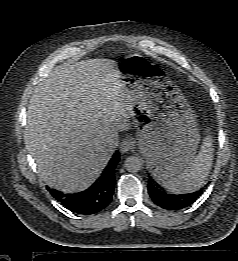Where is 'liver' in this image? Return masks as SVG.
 Instances as JSON below:
<instances>
[{
    "label": "liver",
    "mask_w": 238,
    "mask_h": 261,
    "mask_svg": "<svg viewBox=\"0 0 238 261\" xmlns=\"http://www.w3.org/2000/svg\"><path fill=\"white\" fill-rule=\"evenodd\" d=\"M117 62L89 59L56 67L36 86L25 143L40 178L64 193L87 189L112 153L109 140L130 128L132 112Z\"/></svg>",
    "instance_id": "1"
}]
</instances>
